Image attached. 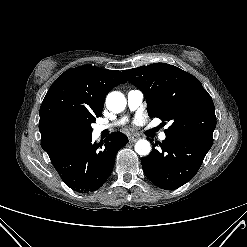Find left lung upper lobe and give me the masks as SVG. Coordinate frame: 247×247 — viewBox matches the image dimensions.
Instances as JSON below:
<instances>
[{
	"label": "left lung upper lobe",
	"instance_id": "1",
	"mask_svg": "<svg viewBox=\"0 0 247 247\" xmlns=\"http://www.w3.org/2000/svg\"><path fill=\"white\" fill-rule=\"evenodd\" d=\"M146 97L148 115L171 125L167 137L183 138L210 149L216 127L212 98L193 75L166 63L124 70Z\"/></svg>",
	"mask_w": 247,
	"mask_h": 247
}]
</instances>
